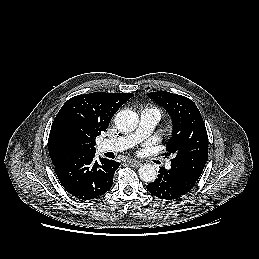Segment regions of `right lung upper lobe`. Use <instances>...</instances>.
I'll list each match as a JSON object with an SVG mask.
<instances>
[{
    "mask_svg": "<svg viewBox=\"0 0 259 259\" xmlns=\"http://www.w3.org/2000/svg\"><path fill=\"white\" fill-rule=\"evenodd\" d=\"M132 93L95 92L70 98L55 117L48 140L53 165L75 155L95 153V139Z\"/></svg>",
    "mask_w": 259,
    "mask_h": 259,
    "instance_id": "obj_1",
    "label": "right lung upper lobe"
}]
</instances>
